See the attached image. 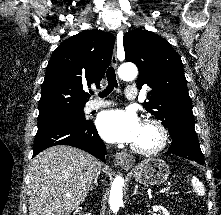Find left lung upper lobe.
<instances>
[{
    "instance_id": "5c2ea615",
    "label": "left lung upper lobe",
    "mask_w": 221,
    "mask_h": 215,
    "mask_svg": "<svg viewBox=\"0 0 221 215\" xmlns=\"http://www.w3.org/2000/svg\"><path fill=\"white\" fill-rule=\"evenodd\" d=\"M125 59L139 68L137 87L148 85L144 108L169 131L194 130L191 99L180 56L168 41L147 30L123 37Z\"/></svg>"
}]
</instances>
